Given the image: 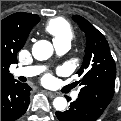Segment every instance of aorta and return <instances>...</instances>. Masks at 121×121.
Returning <instances> with one entry per match:
<instances>
[{
  "mask_svg": "<svg viewBox=\"0 0 121 121\" xmlns=\"http://www.w3.org/2000/svg\"><path fill=\"white\" fill-rule=\"evenodd\" d=\"M52 54L53 46L47 40H39L32 47V55L36 60H47ZM53 106L57 111H64L67 107V100L64 97H57L53 101Z\"/></svg>",
  "mask_w": 121,
  "mask_h": 121,
  "instance_id": "obj_1",
  "label": "aorta"
}]
</instances>
